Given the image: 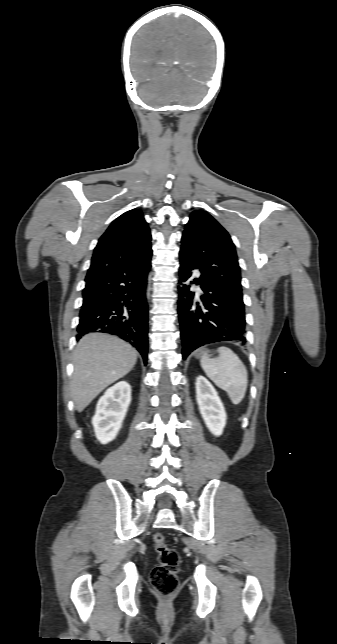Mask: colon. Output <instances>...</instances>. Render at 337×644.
Here are the masks:
<instances>
[{"instance_id":"1","label":"colon","mask_w":337,"mask_h":644,"mask_svg":"<svg viewBox=\"0 0 337 644\" xmlns=\"http://www.w3.org/2000/svg\"><path fill=\"white\" fill-rule=\"evenodd\" d=\"M153 545L158 554V564L153 568L150 579L155 590L162 597L173 595L178 586L179 554L167 546L165 537L157 532L153 535Z\"/></svg>"}]
</instances>
